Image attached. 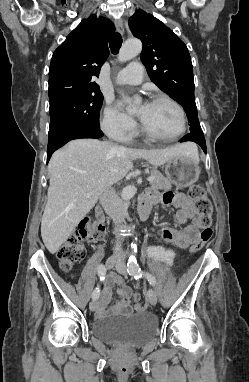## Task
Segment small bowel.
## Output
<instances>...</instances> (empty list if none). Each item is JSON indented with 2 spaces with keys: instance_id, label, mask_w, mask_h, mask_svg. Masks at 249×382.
<instances>
[{
  "instance_id": "c3829d8e",
  "label": "small bowel",
  "mask_w": 249,
  "mask_h": 382,
  "mask_svg": "<svg viewBox=\"0 0 249 382\" xmlns=\"http://www.w3.org/2000/svg\"><path fill=\"white\" fill-rule=\"evenodd\" d=\"M146 200H148L151 205L162 204L175 207L177 211L174 215V220L178 225H185L195 216L193 202L182 193L169 191L163 195H159L154 191H150L146 196ZM161 232L166 240L178 247H187L199 236L198 228L193 224L186 225L179 229L163 227ZM171 256L172 255H170V257ZM112 286L118 287L119 300L115 306L108 308L111 294L110 289ZM132 293V289L125 284L121 276L115 273L109 274L102 292V297L96 308L98 316L105 317L107 315H117L121 313L129 314L131 312L130 296Z\"/></svg>"
}]
</instances>
